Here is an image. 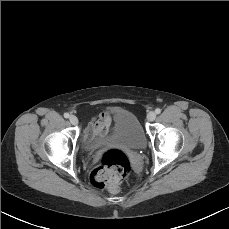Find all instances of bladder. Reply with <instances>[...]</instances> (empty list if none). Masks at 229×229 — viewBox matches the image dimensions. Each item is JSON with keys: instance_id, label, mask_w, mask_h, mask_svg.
<instances>
[{"instance_id": "31cf9c89", "label": "bladder", "mask_w": 229, "mask_h": 229, "mask_svg": "<svg viewBox=\"0 0 229 229\" xmlns=\"http://www.w3.org/2000/svg\"><path fill=\"white\" fill-rule=\"evenodd\" d=\"M110 143L120 144L128 148L145 149L147 137L137 117L131 111L118 109L113 119V127L107 135H97L83 140L84 150L92 152Z\"/></svg>"}]
</instances>
